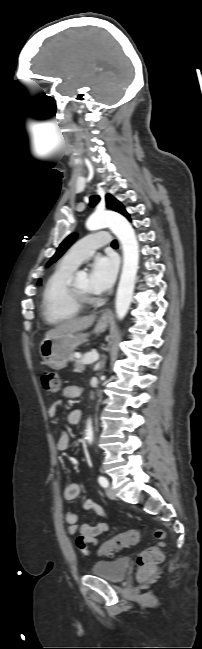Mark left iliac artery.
I'll return each instance as SVG.
<instances>
[{
  "mask_svg": "<svg viewBox=\"0 0 202 649\" xmlns=\"http://www.w3.org/2000/svg\"><path fill=\"white\" fill-rule=\"evenodd\" d=\"M98 482L102 487H107L109 485L108 480L103 476L98 477Z\"/></svg>",
  "mask_w": 202,
  "mask_h": 649,
  "instance_id": "1",
  "label": "left iliac artery"
}]
</instances>
